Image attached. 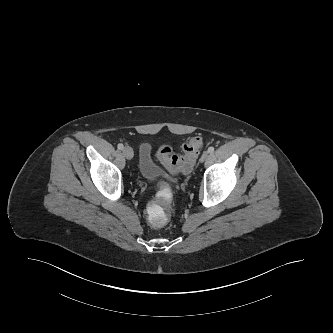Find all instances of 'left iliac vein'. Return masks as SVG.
<instances>
[{
  "label": "left iliac vein",
  "instance_id": "4c4485c4",
  "mask_svg": "<svg viewBox=\"0 0 333 333\" xmlns=\"http://www.w3.org/2000/svg\"><path fill=\"white\" fill-rule=\"evenodd\" d=\"M208 157H209V153L208 152H204L202 154L201 158H200V161L204 162V161H206L208 159Z\"/></svg>",
  "mask_w": 333,
  "mask_h": 333
}]
</instances>
